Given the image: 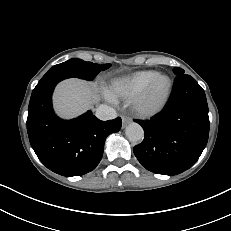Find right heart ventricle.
Here are the masks:
<instances>
[{
    "label": "right heart ventricle",
    "instance_id": "obj_1",
    "mask_svg": "<svg viewBox=\"0 0 231 231\" xmlns=\"http://www.w3.org/2000/svg\"><path fill=\"white\" fill-rule=\"evenodd\" d=\"M158 73L153 70H142L113 80L107 89L110 99H128L136 96L153 80Z\"/></svg>",
    "mask_w": 231,
    "mask_h": 231
}]
</instances>
